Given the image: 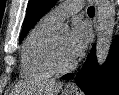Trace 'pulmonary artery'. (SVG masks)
<instances>
[{
    "instance_id": "e3ab8cb5",
    "label": "pulmonary artery",
    "mask_w": 119,
    "mask_h": 95,
    "mask_svg": "<svg viewBox=\"0 0 119 95\" xmlns=\"http://www.w3.org/2000/svg\"><path fill=\"white\" fill-rule=\"evenodd\" d=\"M84 6L83 1L69 0L65 1L56 8L52 9L46 17L54 22H59L65 18L78 13Z\"/></svg>"
}]
</instances>
